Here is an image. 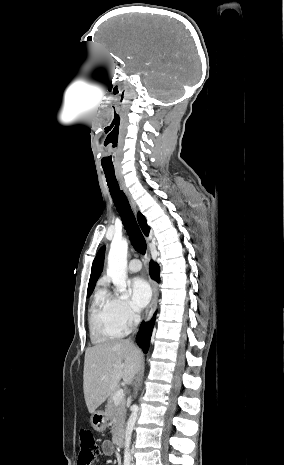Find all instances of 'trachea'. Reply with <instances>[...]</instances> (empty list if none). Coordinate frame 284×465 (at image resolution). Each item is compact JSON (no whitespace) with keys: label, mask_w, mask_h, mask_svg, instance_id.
Here are the masks:
<instances>
[{"label":"trachea","mask_w":284,"mask_h":465,"mask_svg":"<svg viewBox=\"0 0 284 465\" xmlns=\"http://www.w3.org/2000/svg\"><path fill=\"white\" fill-rule=\"evenodd\" d=\"M106 181L109 187V191L113 198L114 204L117 211L121 217L124 228L129 235L131 244L137 250V252L142 253L146 252V242L144 236L141 233V230L136 222L134 214L131 210L130 204L125 193L120 189L118 181L115 176V170L104 169Z\"/></svg>","instance_id":"1"}]
</instances>
